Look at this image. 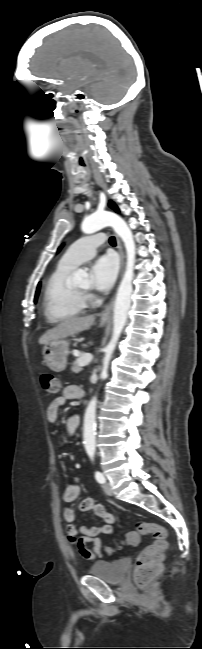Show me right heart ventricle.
Returning <instances> with one entry per match:
<instances>
[{
  "label": "right heart ventricle",
  "mask_w": 202,
  "mask_h": 649,
  "mask_svg": "<svg viewBox=\"0 0 202 649\" xmlns=\"http://www.w3.org/2000/svg\"><path fill=\"white\" fill-rule=\"evenodd\" d=\"M75 267L60 262L50 275L44 290V315L51 323L69 320L81 314L85 303L70 282Z\"/></svg>",
  "instance_id": "right-heart-ventricle-1"
}]
</instances>
